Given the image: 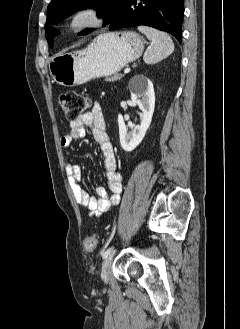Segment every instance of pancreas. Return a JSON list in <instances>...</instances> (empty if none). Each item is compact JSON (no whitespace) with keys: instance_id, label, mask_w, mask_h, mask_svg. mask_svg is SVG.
I'll use <instances>...</instances> for the list:
<instances>
[{"instance_id":"1","label":"pancreas","mask_w":240,"mask_h":329,"mask_svg":"<svg viewBox=\"0 0 240 329\" xmlns=\"http://www.w3.org/2000/svg\"><path fill=\"white\" fill-rule=\"evenodd\" d=\"M122 78V75L121 74H115L114 76L112 77H109V78H106V81L108 82H113V81H118Z\"/></svg>"}]
</instances>
